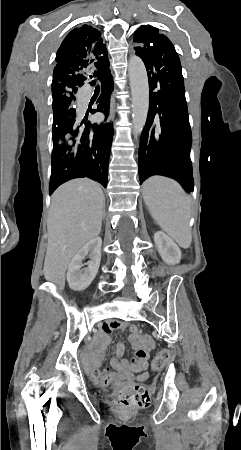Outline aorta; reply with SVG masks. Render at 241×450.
Listing matches in <instances>:
<instances>
[{"label": "aorta", "instance_id": "obj_1", "mask_svg": "<svg viewBox=\"0 0 241 450\" xmlns=\"http://www.w3.org/2000/svg\"><path fill=\"white\" fill-rule=\"evenodd\" d=\"M129 79L132 94V123L134 134L141 135L149 110V84L145 65L133 55L129 59Z\"/></svg>", "mask_w": 241, "mask_h": 450}]
</instances>
